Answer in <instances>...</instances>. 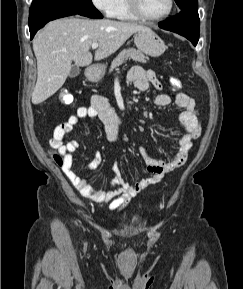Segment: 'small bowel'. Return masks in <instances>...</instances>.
Segmentation results:
<instances>
[{"mask_svg":"<svg viewBox=\"0 0 243 289\" xmlns=\"http://www.w3.org/2000/svg\"><path fill=\"white\" fill-rule=\"evenodd\" d=\"M128 82H133L140 91H146L150 85L162 90V85L152 70H145L140 66L131 68L127 75ZM154 103L157 107H166L171 103V97L166 93L158 94ZM175 104L182 109L179 120L184 127V133L179 138L177 150L168 160H159L147 155L144 148L140 154L146 163V171L149 176L135 184L127 182L117 163L113 164L114 177L109 182L108 188H95L83 176H79L73 170V152L79 144L76 140L70 139L71 133L76 125L87 118H97L104 127L107 139L112 143H119V128L122 119L114 113L108 99L103 95H94L89 106H80L67 121L57 125L51 135L50 145L57 150V155L62 158L61 167L63 173L78 191L80 197L88 202L109 203L111 211L123 210L130 200L145 188L159 183L166 173L182 166L187 160L193 142L198 139L201 133V121L196 110L195 100L185 93H178L175 96ZM69 138L67 142L64 139ZM102 162V155L96 152L94 158L87 164L86 169L90 172L97 171Z\"/></svg>","mask_w":243,"mask_h":289,"instance_id":"1","label":"small bowel"}]
</instances>
